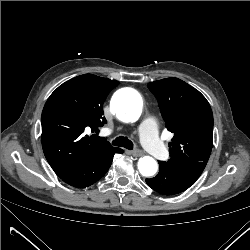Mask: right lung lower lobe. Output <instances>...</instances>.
Listing matches in <instances>:
<instances>
[{
  "label": "right lung lower lobe",
  "instance_id": "right-lung-lower-lobe-1",
  "mask_svg": "<svg viewBox=\"0 0 250 250\" xmlns=\"http://www.w3.org/2000/svg\"><path fill=\"white\" fill-rule=\"evenodd\" d=\"M115 153H123V150L112 148L102 151L83 166L55 173L67 184L76 188H85L105 175L111 166Z\"/></svg>",
  "mask_w": 250,
  "mask_h": 250
}]
</instances>
